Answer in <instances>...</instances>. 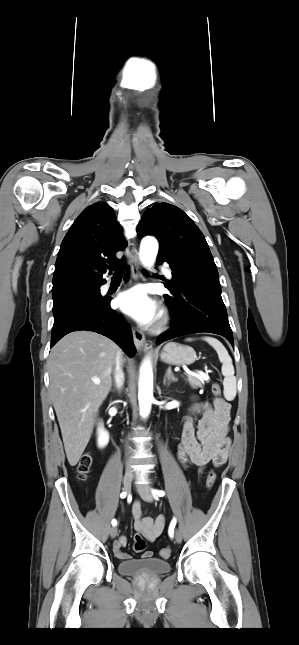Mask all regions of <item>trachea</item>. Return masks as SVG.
<instances>
[{
	"label": "trachea",
	"mask_w": 299,
	"mask_h": 645,
	"mask_svg": "<svg viewBox=\"0 0 299 645\" xmlns=\"http://www.w3.org/2000/svg\"><path fill=\"white\" fill-rule=\"evenodd\" d=\"M112 269L115 270L114 276H122L124 274V259L116 265H112Z\"/></svg>",
	"instance_id": "obj_1"
}]
</instances>
